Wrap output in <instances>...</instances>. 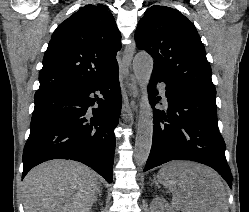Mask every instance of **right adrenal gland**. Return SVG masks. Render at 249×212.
<instances>
[{"label": "right adrenal gland", "mask_w": 249, "mask_h": 212, "mask_svg": "<svg viewBox=\"0 0 249 212\" xmlns=\"http://www.w3.org/2000/svg\"><path fill=\"white\" fill-rule=\"evenodd\" d=\"M99 196H101V192H98ZM96 202H98V200H94V204H96Z\"/></svg>", "instance_id": "right-adrenal-gland-1"}]
</instances>
